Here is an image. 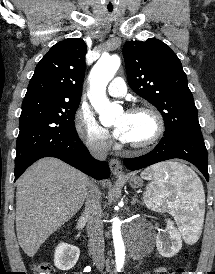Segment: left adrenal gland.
<instances>
[{
    "mask_svg": "<svg viewBox=\"0 0 215 274\" xmlns=\"http://www.w3.org/2000/svg\"><path fill=\"white\" fill-rule=\"evenodd\" d=\"M137 202H139V200L137 199V195L135 194L134 197H133V199H132L131 204L134 205Z\"/></svg>",
    "mask_w": 215,
    "mask_h": 274,
    "instance_id": "obj_1",
    "label": "left adrenal gland"
}]
</instances>
